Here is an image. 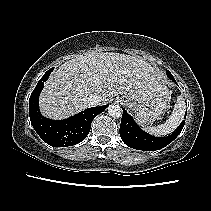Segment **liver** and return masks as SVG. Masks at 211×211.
<instances>
[{
    "instance_id": "1",
    "label": "liver",
    "mask_w": 211,
    "mask_h": 211,
    "mask_svg": "<svg viewBox=\"0 0 211 211\" xmlns=\"http://www.w3.org/2000/svg\"><path fill=\"white\" fill-rule=\"evenodd\" d=\"M166 91L165 76L143 59L113 53H89L63 63L45 83L39 98L43 115L63 119L89 108L88 98L105 104L122 94L140 101Z\"/></svg>"
}]
</instances>
